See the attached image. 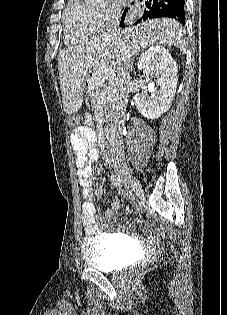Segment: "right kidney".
I'll use <instances>...</instances> for the list:
<instances>
[{
	"mask_svg": "<svg viewBox=\"0 0 227 315\" xmlns=\"http://www.w3.org/2000/svg\"><path fill=\"white\" fill-rule=\"evenodd\" d=\"M138 69L146 78L142 91L134 95L138 111L148 119H157L171 107L177 87V66L167 49L154 45L140 55ZM157 75L156 85L150 83L149 76ZM150 85V96L147 94Z\"/></svg>",
	"mask_w": 227,
	"mask_h": 315,
	"instance_id": "right-kidney-1",
	"label": "right kidney"
}]
</instances>
